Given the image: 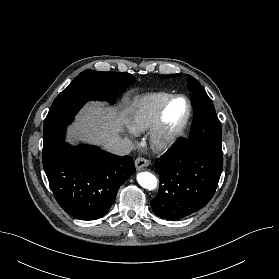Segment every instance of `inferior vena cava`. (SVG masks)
<instances>
[{
	"mask_svg": "<svg viewBox=\"0 0 279 279\" xmlns=\"http://www.w3.org/2000/svg\"><path fill=\"white\" fill-rule=\"evenodd\" d=\"M105 148L116 155H127L134 149L132 142L127 138L112 140L106 144Z\"/></svg>",
	"mask_w": 279,
	"mask_h": 279,
	"instance_id": "1",
	"label": "inferior vena cava"
}]
</instances>
